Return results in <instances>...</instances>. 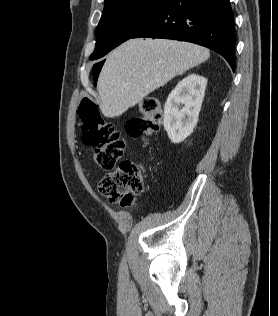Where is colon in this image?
I'll list each match as a JSON object with an SVG mask.
<instances>
[{
	"label": "colon",
	"mask_w": 278,
	"mask_h": 316,
	"mask_svg": "<svg viewBox=\"0 0 278 316\" xmlns=\"http://www.w3.org/2000/svg\"><path fill=\"white\" fill-rule=\"evenodd\" d=\"M141 116L130 119L127 133L133 137H150L159 131L162 111L158 99L145 98L139 105ZM84 144L94 148L96 164L107 171L99 183L100 193L122 207L131 206L144 192L143 168L133 162H121L125 143L116 126L105 120L96 104L84 99L79 105Z\"/></svg>",
	"instance_id": "5ec220e1"
}]
</instances>
